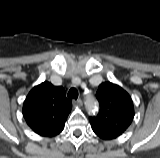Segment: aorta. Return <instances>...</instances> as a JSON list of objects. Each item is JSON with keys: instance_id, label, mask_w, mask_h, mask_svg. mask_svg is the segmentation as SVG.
<instances>
[{"instance_id": "obj_1", "label": "aorta", "mask_w": 160, "mask_h": 158, "mask_svg": "<svg viewBox=\"0 0 160 158\" xmlns=\"http://www.w3.org/2000/svg\"><path fill=\"white\" fill-rule=\"evenodd\" d=\"M86 107H87L88 111L92 114H95L98 112V106H97V103H96L93 96L87 97Z\"/></svg>"}]
</instances>
